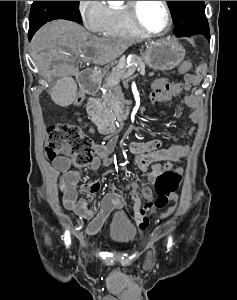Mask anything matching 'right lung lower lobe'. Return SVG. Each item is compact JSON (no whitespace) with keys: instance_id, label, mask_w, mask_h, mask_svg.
I'll return each instance as SVG.
<instances>
[{"instance_id":"98d812e1","label":"right lung lower lobe","mask_w":237,"mask_h":300,"mask_svg":"<svg viewBox=\"0 0 237 300\" xmlns=\"http://www.w3.org/2000/svg\"><path fill=\"white\" fill-rule=\"evenodd\" d=\"M35 32H36V31H35ZM35 32L29 30V33H28L29 40L32 38V36L34 35Z\"/></svg>"}]
</instances>
